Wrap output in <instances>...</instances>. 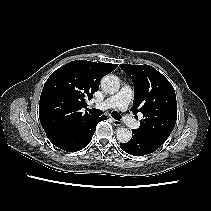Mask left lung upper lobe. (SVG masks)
<instances>
[{
    "label": "left lung upper lobe",
    "mask_w": 211,
    "mask_h": 211,
    "mask_svg": "<svg viewBox=\"0 0 211 211\" xmlns=\"http://www.w3.org/2000/svg\"><path fill=\"white\" fill-rule=\"evenodd\" d=\"M121 69L132 79L134 115L143 114L140 127L133 130L159 145H162L173 131L177 119V102L171 83L150 65L121 64Z\"/></svg>",
    "instance_id": "obj_1"
}]
</instances>
